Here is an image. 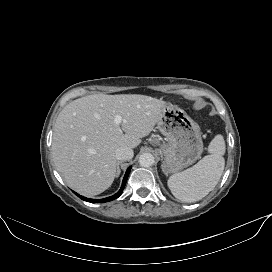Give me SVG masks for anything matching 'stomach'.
I'll return each instance as SVG.
<instances>
[{"mask_svg": "<svg viewBox=\"0 0 272 272\" xmlns=\"http://www.w3.org/2000/svg\"><path fill=\"white\" fill-rule=\"evenodd\" d=\"M157 128L166 139L160 146L165 172L177 173L200 158L203 152L200 127L184 110L167 104L161 111Z\"/></svg>", "mask_w": 272, "mask_h": 272, "instance_id": "0dacf381", "label": "stomach"}]
</instances>
